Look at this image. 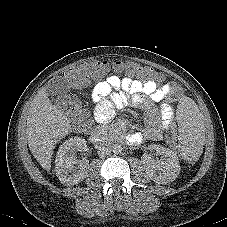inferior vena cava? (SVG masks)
Masks as SVG:
<instances>
[{"label":"inferior vena cava","instance_id":"inferior-vena-cava-1","mask_svg":"<svg viewBox=\"0 0 227 227\" xmlns=\"http://www.w3.org/2000/svg\"><path fill=\"white\" fill-rule=\"evenodd\" d=\"M112 148L109 144L107 143H102L99 147H98V155L100 157H106L108 155L111 154Z\"/></svg>","mask_w":227,"mask_h":227}]
</instances>
